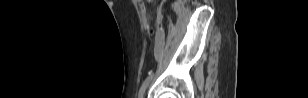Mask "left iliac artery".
<instances>
[{
  "label": "left iliac artery",
  "instance_id": "obj_1",
  "mask_svg": "<svg viewBox=\"0 0 308 98\" xmlns=\"http://www.w3.org/2000/svg\"><path fill=\"white\" fill-rule=\"evenodd\" d=\"M158 33L155 34V39H156V54H155V60L159 61L160 60V56H161V48H162V41L163 38L162 36L165 35V30L167 29V26L165 24H159L158 25ZM152 74H150L142 83L141 88L139 90V97L142 98L143 94L145 92V89L147 88L148 84L150 83L151 79H152Z\"/></svg>",
  "mask_w": 308,
  "mask_h": 98
}]
</instances>
